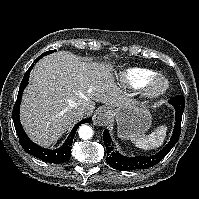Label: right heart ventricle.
Returning <instances> with one entry per match:
<instances>
[{
  "mask_svg": "<svg viewBox=\"0 0 199 199\" xmlns=\"http://www.w3.org/2000/svg\"><path fill=\"white\" fill-rule=\"evenodd\" d=\"M157 73L147 68H129L122 74L124 82L134 85L143 86Z\"/></svg>",
  "mask_w": 199,
  "mask_h": 199,
  "instance_id": "obj_1",
  "label": "right heart ventricle"
}]
</instances>
